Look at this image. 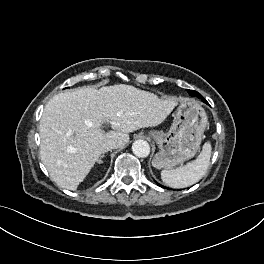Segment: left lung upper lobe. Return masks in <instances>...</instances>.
I'll return each instance as SVG.
<instances>
[{"mask_svg": "<svg viewBox=\"0 0 264 264\" xmlns=\"http://www.w3.org/2000/svg\"><path fill=\"white\" fill-rule=\"evenodd\" d=\"M192 92V90H188V93Z\"/></svg>", "mask_w": 264, "mask_h": 264, "instance_id": "1", "label": "left lung upper lobe"}]
</instances>
